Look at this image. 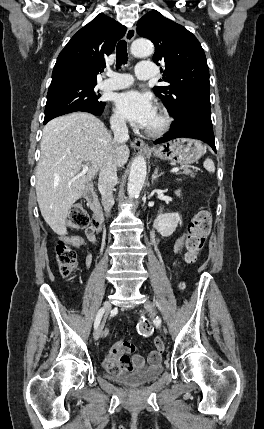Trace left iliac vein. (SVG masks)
<instances>
[{"label":"left iliac vein","mask_w":264,"mask_h":429,"mask_svg":"<svg viewBox=\"0 0 264 429\" xmlns=\"http://www.w3.org/2000/svg\"><path fill=\"white\" fill-rule=\"evenodd\" d=\"M144 306H145V308H147L148 310H150L153 314L156 313L155 310H154L153 304L149 300L145 301ZM156 317L160 321L163 319L159 314ZM160 324L162 325L161 327L163 328L164 335H166L168 337L170 334H169L168 328L164 325L165 323L162 321Z\"/></svg>","instance_id":"4c4485c4"}]
</instances>
